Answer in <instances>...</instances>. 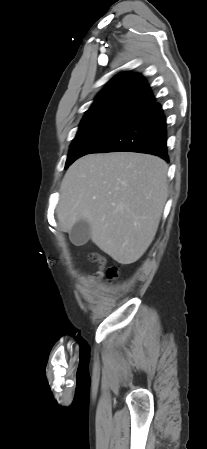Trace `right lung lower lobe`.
Here are the masks:
<instances>
[{
  "label": "right lung lower lobe",
  "mask_w": 207,
  "mask_h": 449,
  "mask_svg": "<svg viewBox=\"0 0 207 449\" xmlns=\"http://www.w3.org/2000/svg\"><path fill=\"white\" fill-rule=\"evenodd\" d=\"M166 119L154 102L96 147L91 153L130 151L148 153L168 160Z\"/></svg>",
  "instance_id": "98d812e1"
}]
</instances>
